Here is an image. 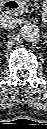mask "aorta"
<instances>
[{"label":"aorta","mask_w":47,"mask_h":129,"mask_svg":"<svg viewBox=\"0 0 47 129\" xmlns=\"http://www.w3.org/2000/svg\"><path fill=\"white\" fill-rule=\"evenodd\" d=\"M21 36L27 42H34L40 37V29L36 24L26 23L21 27Z\"/></svg>","instance_id":"762f6f07"}]
</instances>
